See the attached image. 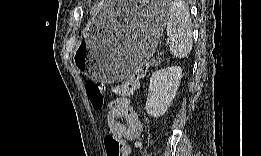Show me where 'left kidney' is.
Masks as SVG:
<instances>
[{"label": "left kidney", "mask_w": 261, "mask_h": 156, "mask_svg": "<svg viewBox=\"0 0 261 156\" xmlns=\"http://www.w3.org/2000/svg\"><path fill=\"white\" fill-rule=\"evenodd\" d=\"M181 78L182 69L179 66L167 67L152 74L145 104L150 116L157 118L164 115L176 96Z\"/></svg>", "instance_id": "1"}]
</instances>
